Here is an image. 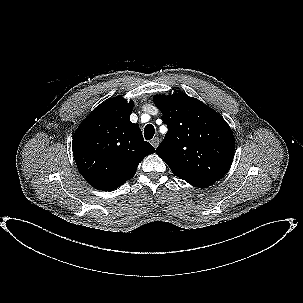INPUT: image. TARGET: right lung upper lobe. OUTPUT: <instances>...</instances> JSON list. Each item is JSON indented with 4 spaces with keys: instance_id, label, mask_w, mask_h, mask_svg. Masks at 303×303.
<instances>
[{
    "instance_id": "1",
    "label": "right lung upper lobe",
    "mask_w": 303,
    "mask_h": 303,
    "mask_svg": "<svg viewBox=\"0 0 303 303\" xmlns=\"http://www.w3.org/2000/svg\"><path fill=\"white\" fill-rule=\"evenodd\" d=\"M133 103L114 97L95 108L72 140L80 174L94 188L113 191L131 179L143 158L155 152L130 121Z\"/></svg>"
}]
</instances>
